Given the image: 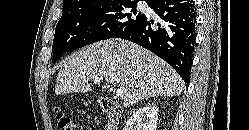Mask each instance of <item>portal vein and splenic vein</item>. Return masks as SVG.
Returning a JSON list of instances; mask_svg holds the SVG:
<instances>
[{
  "instance_id": "18ae733b",
  "label": "portal vein and splenic vein",
  "mask_w": 249,
  "mask_h": 130,
  "mask_svg": "<svg viewBox=\"0 0 249 130\" xmlns=\"http://www.w3.org/2000/svg\"><path fill=\"white\" fill-rule=\"evenodd\" d=\"M93 82L94 83H97V82H100V79H94L93 80ZM124 94H125V89L124 88H118L117 90H116V96L117 97H123L124 96Z\"/></svg>"
}]
</instances>
